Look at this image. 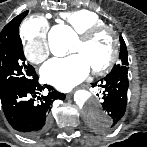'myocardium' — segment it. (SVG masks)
Instances as JSON below:
<instances>
[{"mask_svg": "<svg viewBox=\"0 0 147 147\" xmlns=\"http://www.w3.org/2000/svg\"><path fill=\"white\" fill-rule=\"evenodd\" d=\"M102 34H107L110 36L112 50L109 59L104 65L97 68H92V73L95 75H103L108 73L116 64L120 52L118 36L116 32L108 26L94 27L82 34H78V40L84 45L91 44L98 36Z\"/></svg>", "mask_w": 147, "mask_h": 147, "instance_id": "myocardium-1", "label": "myocardium"}]
</instances>
